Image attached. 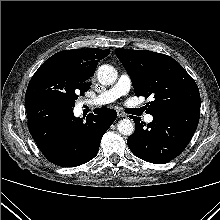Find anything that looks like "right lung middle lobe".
<instances>
[{
	"label": "right lung middle lobe",
	"mask_w": 220,
	"mask_h": 220,
	"mask_svg": "<svg viewBox=\"0 0 220 220\" xmlns=\"http://www.w3.org/2000/svg\"><path fill=\"white\" fill-rule=\"evenodd\" d=\"M89 77L66 64L43 63L31 78L25 98H49L74 107L78 96L89 90Z\"/></svg>",
	"instance_id": "dd1d6c3e"
}]
</instances>
